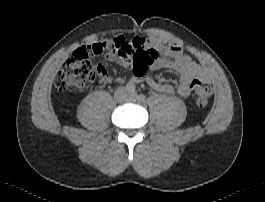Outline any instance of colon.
Masks as SVG:
<instances>
[{"instance_id": "5ec220e1", "label": "colon", "mask_w": 265, "mask_h": 202, "mask_svg": "<svg viewBox=\"0 0 265 202\" xmlns=\"http://www.w3.org/2000/svg\"><path fill=\"white\" fill-rule=\"evenodd\" d=\"M114 51L123 56L132 57V72L136 78L145 75L149 63L158 56L153 48L144 46L140 41L132 42L124 38H115L109 42H100L88 46L82 53L72 55L62 65L55 80V88L59 92L80 91L92 82L96 75L105 71L95 65L92 57L104 52ZM192 95L198 106H206L212 97V86L200 80L191 83Z\"/></svg>"}]
</instances>
